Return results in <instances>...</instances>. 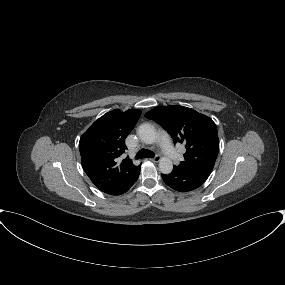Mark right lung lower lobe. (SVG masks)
Listing matches in <instances>:
<instances>
[{
  "label": "right lung lower lobe",
  "mask_w": 285,
  "mask_h": 285,
  "mask_svg": "<svg viewBox=\"0 0 285 285\" xmlns=\"http://www.w3.org/2000/svg\"><path fill=\"white\" fill-rule=\"evenodd\" d=\"M138 176L135 177L129 183H127L125 186H123V187H121V188H119L117 190H114V191H111V192H107V193L110 194V195H121V194L127 192L131 188V186L136 182V180L138 179Z\"/></svg>",
  "instance_id": "obj_1"
}]
</instances>
